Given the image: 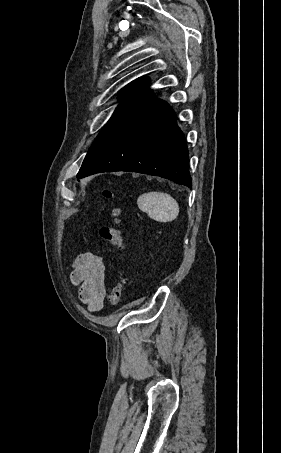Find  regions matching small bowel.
Wrapping results in <instances>:
<instances>
[{"label": "small bowel", "mask_w": 281, "mask_h": 453, "mask_svg": "<svg viewBox=\"0 0 281 453\" xmlns=\"http://www.w3.org/2000/svg\"><path fill=\"white\" fill-rule=\"evenodd\" d=\"M105 269L102 257L94 253H82L73 262L70 280L78 286L79 299L91 313H97L103 307Z\"/></svg>", "instance_id": "obj_1"}]
</instances>
